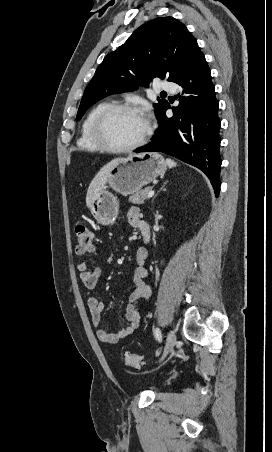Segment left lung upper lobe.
<instances>
[{
  "instance_id": "left-lung-upper-lobe-1",
  "label": "left lung upper lobe",
  "mask_w": 272,
  "mask_h": 452,
  "mask_svg": "<svg viewBox=\"0 0 272 452\" xmlns=\"http://www.w3.org/2000/svg\"><path fill=\"white\" fill-rule=\"evenodd\" d=\"M196 43L186 26L173 17L143 24L99 65L85 89L76 120L102 98L148 86L153 77L173 82ZM167 103L158 98L154 104L157 117Z\"/></svg>"
}]
</instances>
